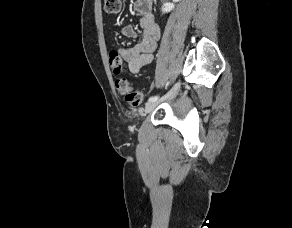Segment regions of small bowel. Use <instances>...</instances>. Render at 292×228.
Instances as JSON below:
<instances>
[{"label": "small bowel", "mask_w": 292, "mask_h": 228, "mask_svg": "<svg viewBox=\"0 0 292 228\" xmlns=\"http://www.w3.org/2000/svg\"><path fill=\"white\" fill-rule=\"evenodd\" d=\"M152 5L153 0L135 1L134 9L139 15V25L142 28L141 39L131 47H121L110 52L116 54L122 62L125 61L132 74H138L150 64L160 38V28L152 12ZM121 33L130 38L137 37V30L132 25L123 26Z\"/></svg>", "instance_id": "small-bowel-1"}]
</instances>
